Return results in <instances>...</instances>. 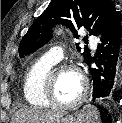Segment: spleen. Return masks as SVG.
I'll list each match as a JSON object with an SVG mask.
<instances>
[{
    "label": "spleen",
    "instance_id": "spleen-1",
    "mask_svg": "<svg viewBox=\"0 0 122 123\" xmlns=\"http://www.w3.org/2000/svg\"><path fill=\"white\" fill-rule=\"evenodd\" d=\"M82 111L87 118V123H101L99 111L95 106L90 104L85 105Z\"/></svg>",
    "mask_w": 122,
    "mask_h": 123
}]
</instances>
